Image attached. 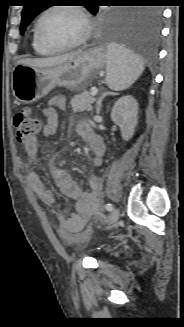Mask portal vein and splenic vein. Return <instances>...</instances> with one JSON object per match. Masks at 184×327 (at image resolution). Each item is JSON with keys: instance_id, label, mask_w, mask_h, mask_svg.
Masks as SVG:
<instances>
[{"instance_id": "18ae733b", "label": "portal vein and splenic vein", "mask_w": 184, "mask_h": 327, "mask_svg": "<svg viewBox=\"0 0 184 327\" xmlns=\"http://www.w3.org/2000/svg\"><path fill=\"white\" fill-rule=\"evenodd\" d=\"M97 93H98V89L97 88L94 87V88L91 89V95L92 96H95Z\"/></svg>"}]
</instances>
